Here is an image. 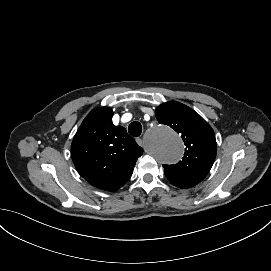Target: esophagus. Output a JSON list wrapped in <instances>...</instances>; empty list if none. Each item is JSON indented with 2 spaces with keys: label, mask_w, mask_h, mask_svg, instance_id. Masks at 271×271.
I'll return each mask as SVG.
<instances>
[{
  "label": "esophagus",
  "mask_w": 271,
  "mask_h": 271,
  "mask_svg": "<svg viewBox=\"0 0 271 271\" xmlns=\"http://www.w3.org/2000/svg\"><path fill=\"white\" fill-rule=\"evenodd\" d=\"M145 140V137L142 135V134H139L137 137H136V142L141 146L143 141Z\"/></svg>",
  "instance_id": "obj_1"
}]
</instances>
